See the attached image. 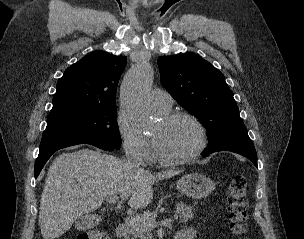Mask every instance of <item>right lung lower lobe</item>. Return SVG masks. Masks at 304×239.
<instances>
[{"label":"right lung lower lobe","mask_w":304,"mask_h":239,"mask_svg":"<svg viewBox=\"0 0 304 239\" xmlns=\"http://www.w3.org/2000/svg\"><path fill=\"white\" fill-rule=\"evenodd\" d=\"M77 144H91L106 151L116 149L107 143L92 139L69 138L41 141L39 155L35 162V178L38 177L43 166L55 151Z\"/></svg>","instance_id":"1"}]
</instances>
